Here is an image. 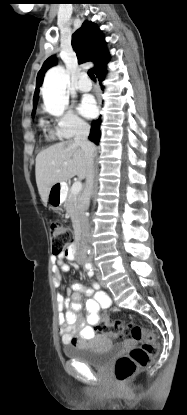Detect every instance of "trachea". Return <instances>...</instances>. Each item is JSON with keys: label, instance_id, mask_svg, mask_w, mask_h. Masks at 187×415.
<instances>
[{"label": "trachea", "instance_id": "1", "mask_svg": "<svg viewBox=\"0 0 187 415\" xmlns=\"http://www.w3.org/2000/svg\"><path fill=\"white\" fill-rule=\"evenodd\" d=\"M88 76H89L92 80H96V77H95V75H94V73H93V71H92L91 69L88 71Z\"/></svg>", "mask_w": 187, "mask_h": 415}]
</instances>
